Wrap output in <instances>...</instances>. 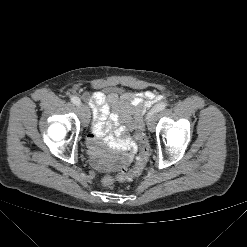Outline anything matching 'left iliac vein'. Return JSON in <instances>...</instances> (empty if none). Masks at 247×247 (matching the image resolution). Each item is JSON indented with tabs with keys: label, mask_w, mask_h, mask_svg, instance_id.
<instances>
[{
	"label": "left iliac vein",
	"mask_w": 247,
	"mask_h": 247,
	"mask_svg": "<svg viewBox=\"0 0 247 247\" xmlns=\"http://www.w3.org/2000/svg\"><path fill=\"white\" fill-rule=\"evenodd\" d=\"M155 114L156 112H153L151 114H148L146 116V123L149 127V129H153L154 128V124H155Z\"/></svg>",
	"instance_id": "obj_1"
}]
</instances>
